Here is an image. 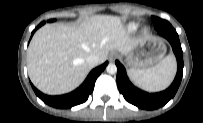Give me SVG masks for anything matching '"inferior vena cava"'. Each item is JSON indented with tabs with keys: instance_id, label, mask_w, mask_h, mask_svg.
Returning <instances> with one entry per match:
<instances>
[{
	"instance_id": "1",
	"label": "inferior vena cava",
	"mask_w": 203,
	"mask_h": 123,
	"mask_svg": "<svg viewBox=\"0 0 203 123\" xmlns=\"http://www.w3.org/2000/svg\"><path fill=\"white\" fill-rule=\"evenodd\" d=\"M86 62L91 66L95 67L99 63V58L96 55H90L87 57Z\"/></svg>"
}]
</instances>
